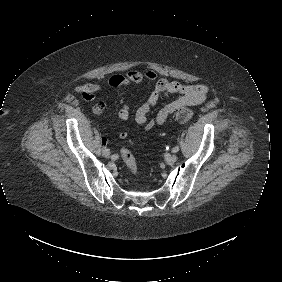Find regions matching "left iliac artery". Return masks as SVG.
<instances>
[{
    "mask_svg": "<svg viewBox=\"0 0 282 282\" xmlns=\"http://www.w3.org/2000/svg\"><path fill=\"white\" fill-rule=\"evenodd\" d=\"M179 151V146H176V147H174L173 149H172V152L173 153H176V152H178Z\"/></svg>",
    "mask_w": 282,
    "mask_h": 282,
    "instance_id": "1",
    "label": "left iliac artery"
}]
</instances>
